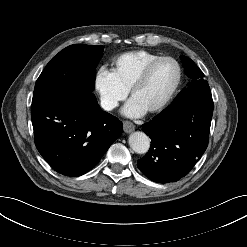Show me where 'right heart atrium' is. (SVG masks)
<instances>
[{
  "instance_id": "d8ad5b80",
  "label": "right heart atrium",
  "mask_w": 247,
  "mask_h": 247,
  "mask_svg": "<svg viewBox=\"0 0 247 247\" xmlns=\"http://www.w3.org/2000/svg\"><path fill=\"white\" fill-rule=\"evenodd\" d=\"M93 89L101 107L106 111L114 110L128 95V91L120 86L112 73L105 68L96 71L93 78Z\"/></svg>"
}]
</instances>
